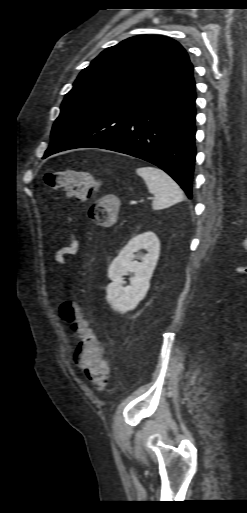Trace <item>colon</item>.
Listing matches in <instances>:
<instances>
[{"label":"colon","instance_id":"1","mask_svg":"<svg viewBox=\"0 0 247 513\" xmlns=\"http://www.w3.org/2000/svg\"><path fill=\"white\" fill-rule=\"evenodd\" d=\"M45 182L49 187L63 191L67 198L77 200L90 199L96 187L93 174L74 169L50 172L46 174ZM117 209L115 197L106 195L100 203L88 206L87 217L103 227H109L117 221ZM60 311L78 337L69 350L70 358L75 361V370L97 389H104L108 383L109 369L104 359L103 342L96 339L90 322L78 306L67 300L61 304Z\"/></svg>","mask_w":247,"mask_h":513}]
</instances>
